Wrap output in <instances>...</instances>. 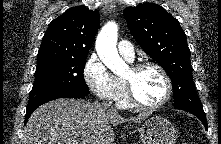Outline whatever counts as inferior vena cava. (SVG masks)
<instances>
[{
  "label": "inferior vena cava",
  "mask_w": 221,
  "mask_h": 144,
  "mask_svg": "<svg viewBox=\"0 0 221 144\" xmlns=\"http://www.w3.org/2000/svg\"><path fill=\"white\" fill-rule=\"evenodd\" d=\"M102 107L104 109H106L107 111H109V112H115V109L110 104H108L107 102H103Z\"/></svg>",
  "instance_id": "602c4592"
}]
</instances>
